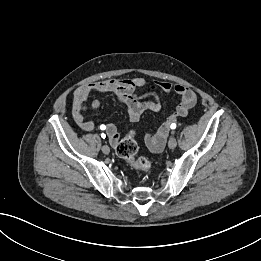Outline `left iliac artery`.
<instances>
[{
    "label": "left iliac artery",
    "instance_id": "44dca946",
    "mask_svg": "<svg viewBox=\"0 0 261 261\" xmlns=\"http://www.w3.org/2000/svg\"><path fill=\"white\" fill-rule=\"evenodd\" d=\"M170 127H171V129H175L176 128V124L172 123Z\"/></svg>",
    "mask_w": 261,
    "mask_h": 261
}]
</instances>
